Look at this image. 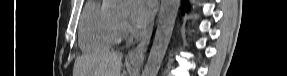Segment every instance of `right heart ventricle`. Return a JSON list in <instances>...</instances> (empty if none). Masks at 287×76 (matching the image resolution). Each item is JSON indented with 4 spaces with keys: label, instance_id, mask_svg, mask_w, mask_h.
<instances>
[{
    "label": "right heart ventricle",
    "instance_id": "e07e8e85",
    "mask_svg": "<svg viewBox=\"0 0 287 76\" xmlns=\"http://www.w3.org/2000/svg\"><path fill=\"white\" fill-rule=\"evenodd\" d=\"M120 21L101 1H89L84 7L80 31V47L85 51L106 50L121 39Z\"/></svg>",
    "mask_w": 287,
    "mask_h": 76
}]
</instances>
